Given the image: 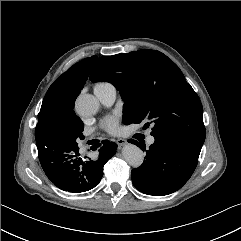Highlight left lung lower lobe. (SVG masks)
<instances>
[{"mask_svg":"<svg viewBox=\"0 0 241 241\" xmlns=\"http://www.w3.org/2000/svg\"><path fill=\"white\" fill-rule=\"evenodd\" d=\"M154 138L143 164L132 170L131 178L140 192L164 196L177 191L189 180L202 145L167 134L154 135ZM128 141L141 148L136 140Z\"/></svg>","mask_w":241,"mask_h":241,"instance_id":"0a47b994","label":"left lung lower lobe"}]
</instances>
